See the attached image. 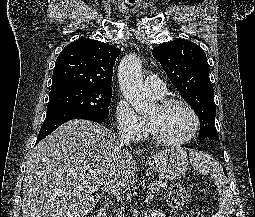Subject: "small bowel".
I'll use <instances>...</instances> for the list:
<instances>
[{
    "label": "small bowel",
    "mask_w": 255,
    "mask_h": 217,
    "mask_svg": "<svg viewBox=\"0 0 255 217\" xmlns=\"http://www.w3.org/2000/svg\"><path fill=\"white\" fill-rule=\"evenodd\" d=\"M165 217V215H164V213L162 212V211H160V210H158V211H155L152 215H151V217Z\"/></svg>",
    "instance_id": "1"
}]
</instances>
